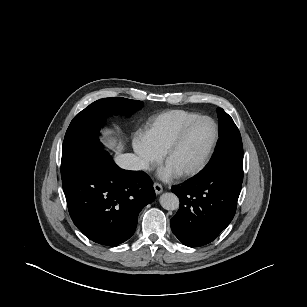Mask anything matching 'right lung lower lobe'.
Instances as JSON below:
<instances>
[{
    "instance_id": "right-lung-lower-lobe-1",
    "label": "right lung lower lobe",
    "mask_w": 307,
    "mask_h": 307,
    "mask_svg": "<svg viewBox=\"0 0 307 307\" xmlns=\"http://www.w3.org/2000/svg\"><path fill=\"white\" fill-rule=\"evenodd\" d=\"M62 185L74 224L90 240L107 246L128 240L138 214L156 197L146 173L120 169L103 149Z\"/></svg>"
}]
</instances>
